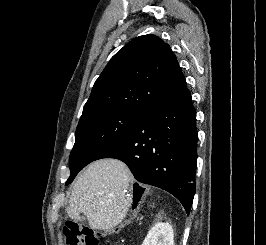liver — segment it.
Instances as JSON below:
<instances>
[{"instance_id": "liver-1", "label": "liver", "mask_w": 266, "mask_h": 245, "mask_svg": "<svg viewBox=\"0 0 266 245\" xmlns=\"http://www.w3.org/2000/svg\"><path fill=\"white\" fill-rule=\"evenodd\" d=\"M133 179L125 163L100 159L78 177L70 195L67 213L72 221L87 217L91 229L109 231L125 219L131 205L128 189Z\"/></svg>"}]
</instances>
